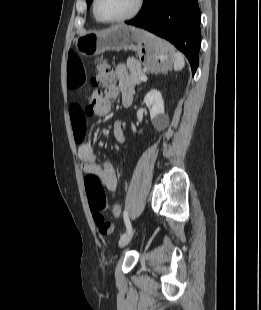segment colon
<instances>
[{"instance_id": "1", "label": "colon", "mask_w": 261, "mask_h": 310, "mask_svg": "<svg viewBox=\"0 0 261 310\" xmlns=\"http://www.w3.org/2000/svg\"><path fill=\"white\" fill-rule=\"evenodd\" d=\"M91 84L96 88L108 86L113 81V72L110 64L104 59H98L95 63L94 72L90 78ZM89 205L93 211V219L99 232L108 235L113 232V225L107 222L101 210L110 208L115 217L121 214V207L118 204L109 206L100 179L95 175H87L85 179Z\"/></svg>"}]
</instances>
